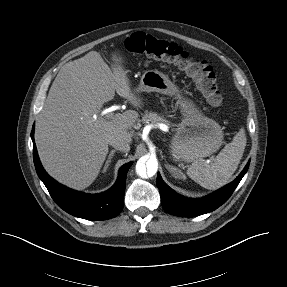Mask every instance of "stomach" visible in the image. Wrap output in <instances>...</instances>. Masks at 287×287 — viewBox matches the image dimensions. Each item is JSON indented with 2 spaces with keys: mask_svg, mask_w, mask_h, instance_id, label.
<instances>
[{
  "mask_svg": "<svg viewBox=\"0 0 287 287\" xmlns=\"http://www.w3.org/2000/svg\"><path fill=\"white\" fill-rule=\"evenodd\" d=\"M136 92H158L176 97L182 120L170 141V153L174 159L193 162L213 154L222 145L220 125L205 116L191 99L184 97L164 73L145 71Z\"/></svg>",
  "mask_w": 287,
  "mask_h": 287,
  "instance_id": "0dacf381",
  "label": "stomach"
}]
</instances>
